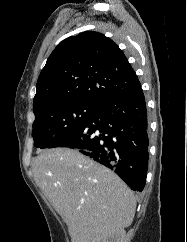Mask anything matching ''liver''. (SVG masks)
Returning a JSON list of instances; mask_svg holds the SVG:
<instances>
[{
    "label": "liver",
    "mask_w": 187,
    "mask_h": 242,
    "mask_svg": "<svg viewBox=\"0 0 187 242\" xmlns=\"http://www.w3.org/2000/svg\"><path fill=\"white\" fill-rule=\"evenodd\" d=\"M32 172L68 225L71 242H102L131 225L134 193L113 171L78 151H43L33 161Z\"/></svg>",
    "instance_id": "liver-1"
}]
</instances>
